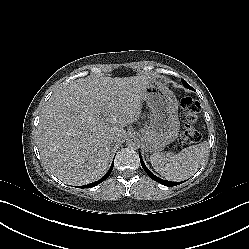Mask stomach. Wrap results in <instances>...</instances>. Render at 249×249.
Returning <instances> with one entry per match:
<instances>
[{
    "instance_id": "1",
    "label": "stomach",
    "mask_w": 249,
    "mask_h": 249,
    "mask_svg": "<svg viewBox=\"0 0 249 249\" xmlns=\"http://www.w3.org/2000/svg\"><path fill=\"white\" fill-rule=\"evenodd\" d=\"M142 99L152 112L150 125L141 131L146 146L162 150L176 140L179 132L173 92L157 81H149Z\"/></svg>"
}]
</instances>
